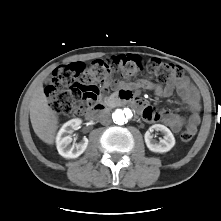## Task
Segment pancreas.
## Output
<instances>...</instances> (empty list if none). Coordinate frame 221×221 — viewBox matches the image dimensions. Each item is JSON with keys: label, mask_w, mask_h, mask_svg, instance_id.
<instances>
[{"label": "pancreas", "mask_w": 221, "mask_h": 221, "mask_svg": "<svg viewBox=\"0 0 221 221\" xmlns=\"http://www.w3.org/2000/svg\"><path fill=\"white\" fill-rule=\"evenodd\" d=\"M111 100H112V98H109V99H108V101H111Z\"/></svg>", "instance_id": "1"}]
</instances>
